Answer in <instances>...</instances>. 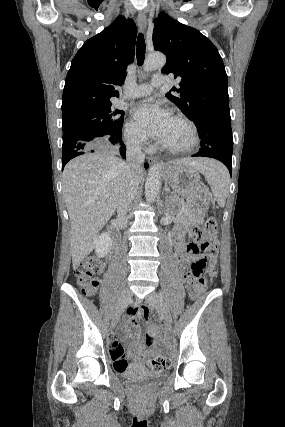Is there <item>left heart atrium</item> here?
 <instances>
[{
    "instance_id": "1",
    "label": "left heart atrium",
    "mask_w": 285,
    "mask_h": 427,
    "mask_svg": "<svg viewBox=\"0 0 285 427\" xmlns=\"http://www.w3.org/2000/svg\"><path fill=\"white\" fill-rule=\"evenodd\" d=\"M134 116L149 134L163 140L171 115L158 102L150 99L141 101L134 110Z\"/></svg>"
}]
</instances>
